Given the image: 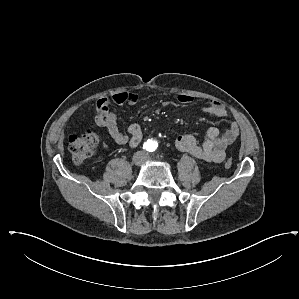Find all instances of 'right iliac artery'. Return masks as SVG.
<instances>
[{
  "mask_svg": "<svg viewBox=\"0 0 299 299\" xmlns=\"http://www.w3.org/2000/svg\"><path fill=\"white\" fill-rule=\"evenodd\" d=\"M150 145L148 143H144L143 148H145L146 150L149 149Z\"/></svg>",
  "mask_w": 299,
  "mask_h": 299,
  "instance_id": "right-iliac-artery-1",
  "label": "right iliac artery"
}]
</instances>
